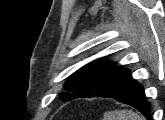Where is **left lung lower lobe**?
Returning <instances> with one entry per match:
<instances>
[{
  "label": "left lung lower lobe",
  "instance_id": "obj_1",
  "mask_svg": "<svg viewBox=\"0 0 165 120\" xmlns=\"http://www.w3.org/2000/svg\"><path fill=\"white\" fill-rule=\"evenodd\" d=\"M107 97L128 104L140 111L148 120H151L150 103L144 95L143 86L134 80L128 72L123 83Z\"/></svg>",
  "mask_w": 165,
  "mask_h": 120
}]
</instances>
